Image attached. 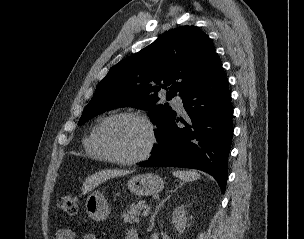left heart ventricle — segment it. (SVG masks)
Instances as JSON below:
<instances>
[{
	"label": "left heart ventricle",
	"mask_w": 304,
	"mask_h": 239,
	"mask_svg": "<svg viewBox=\"0 0 304 239\" xmlns=\"http://www.w3.org/2000/svg\"><path fill=\"white\" fill-rule=\"evenodd\" d=\"M102 138L113 153L130 158L139 155L145 149L149 135L142 122L133 118H121L105 127Z\"/></svg>",
	"instance_id": "obj_1"
}]
</instances>
